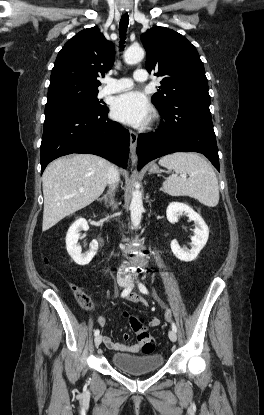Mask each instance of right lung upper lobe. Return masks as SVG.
I'll list each match as a JSON object with an SVG mask.
<instances>
[{
	"instance_id": "cb5924a9",
	"label": "right lung upper lobe",
	"mask_w": 264,
	"mask_h": 415,
	"mask_svg": "<svg viewBox=\"0 0 264 415\" xmlns=\"http://www.w3.org/2000/svg\"><path fill=\"white\" fill-rule=\"evenodd\" d=\"M114 55V45L97 27L80 31L58 53L48 98L71 92H98L97 78L111 69Z\"/></svg>"
}]
</instances>
